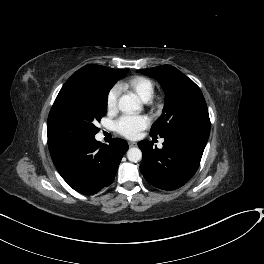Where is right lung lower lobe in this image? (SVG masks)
<instances>
[{"label": "right lung lower lobe", "mask_w": 264, "mask_h": 264, "mask_svg": "<svg viewBox=\"0 0 264 264\" xmlns=\"http://www.w3.org/2000/svg\"><path fill=\"white\" fill-rule=\"evenodd\" d=\"M126 141L114 138L101 145L95 138L71 142L51 152L52 160L66 183L79 193L92 195L109 186L116 175Z\"/></svg>", "instance_id": "1"}]
</instances>
